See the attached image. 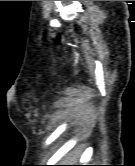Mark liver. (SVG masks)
Segmentation results:
<instances>
[{
  "mask_svg": "<svg viewBox=\"0 0 135 166\" xmlns=\"http://www.w3.org/2000/svg\"><path fill=\"white\" fill-rule=\"evenodd\" d=\"M67 159L70 163H75L78 159V156L77 155H72V156L68 157Z\"/></svg>",
  "mask_w": 135,
  "mask_h": 166,
  "instance_id": "obj_1",
  "label": "liver"
}]
</instances>
